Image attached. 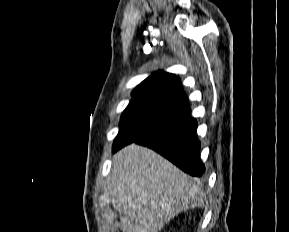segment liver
I'll return each mask as SVG.
<instances>
[{
	"mask_svg": "<svg viewBox=\"0 0 289 232\" xmlns=\"http://www.w3.org/2000/svg\"><path fill=\"white\" fill-rule=\"evenodd\" d=\"M110 196L125 232H159L204 194L192 179L153 150L130 144L113 156Z\"/></svg>",
	"mask_w": 289,
	"mask_h": 232,
	"instance_id": "obj_1",
	"label": "liver"
}]
</instances>
